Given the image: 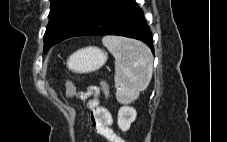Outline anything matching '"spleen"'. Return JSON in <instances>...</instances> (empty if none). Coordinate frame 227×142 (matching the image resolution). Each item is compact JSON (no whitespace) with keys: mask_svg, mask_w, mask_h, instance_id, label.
Here are the masks:
<instances>
[{"mask_svg":"<svg viewBox=\"0 0 227 142\" xmlns=\"http://www.w3.org/2000/svg\"><path fill=\"white\" fill-rule=\"evenodd\" d=\"M102 43L115 58V83L120 88L116 98L121 103H130L150 83L152 53L142 42L119 36H106Z\"/></svg>","mask_w":227,"mask_h":142,"instance_id":"spleen-1","label":"spleen"}]
</instances>
